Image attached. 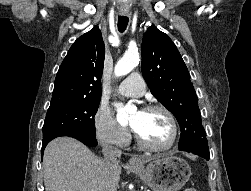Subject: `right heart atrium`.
<instances>
[{"mask_svg": "<svg viewBox=\"0 0 251 191\" xmlns=\"http://www.w3.org/2000/svg\"><path fill=\"white\" fill-rule=\"evenodd\" d=\"M92 122L94 135L99 144L115 147H124L129 144L130 133L107 109L99 107L93 115Z\"/></svg>", "mask_w": 251, "mask_h": 191, "instance_id": "d8ad5b80", "label": "right heart atrium"}]
</instances>
